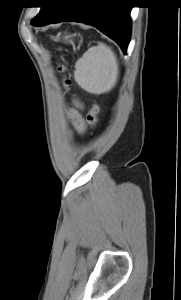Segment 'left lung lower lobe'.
Masks as SVG:
<instances>
[{
  "label": "left lung lower lobe",
  "instance_id": "0a47b994",
  "mask_svg": "<svg viewBox=\"0 0 181 300\" xmlns=\"http://www.w3.org/2000/svg\"><path fill=\"white\" fill-rule=\"evenodd\" d=\"M131 8L127 0H55L37 26L62 21L89 24L116 41L126 54L131 34Z\"/></svg>",
  "mask_w": 181,
  "mask_h": 300
}]
</instances>
